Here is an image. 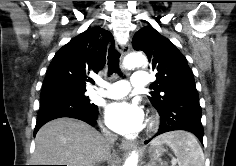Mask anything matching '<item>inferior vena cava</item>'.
<instances>
[{
  "instance_id": "inferior-vena-cava-1",
  "label": "inferior vena cava",
  "mask_w": 236,
  "mask_h": 166,
  "mask_svg": "<svg viewBox=\"0 0 236 166\" xmlns=\"http://www.w3.org/2000/svg\"><path fill=\"white\" fill-rule=\"evenodd\" d=\"M103 137L105 141V147L110 153V150L113 147L117 139V136L115 134H111L110 132H104Z\"/></svg>"
}]
</instances>
